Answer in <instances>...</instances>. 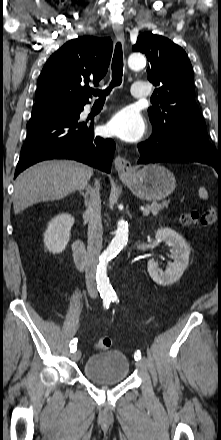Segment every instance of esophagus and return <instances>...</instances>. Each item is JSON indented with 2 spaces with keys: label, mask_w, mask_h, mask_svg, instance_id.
Returning a JSON list of instances; mask_svg holds the SVG:
<instances>
[{
  "label": "esophagus",
  "mask_w": 221,
  "mask_h": 440,
  "mask_svg": "<svg viewBox=\"0 0 221 440\" xmlns=\"http://www.w3.org/2000/svg\"><path fill=\"white\" fill-rule=\"evenodd\" d=\"M113 31L116 35V38L124 43V31H123V25L120 23L113 24ZM114 166L116 171L118 172V175L120 177H126L129 176L132 172V165L131 162L126 160L125 158L121 157L120 155H117L114 159Z\"/></svg>",
  "instance_id": "obj_1"
}]
</instances>
